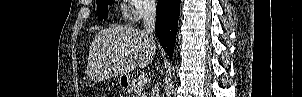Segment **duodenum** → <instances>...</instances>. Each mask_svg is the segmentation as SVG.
I'll return each mask as SVG.
<instances>
[{"instance_id":"duodenum-1","label":"duodenum","mask_w":302,"mask_h":97,"mask_svg":"<svg viewBox=\"0 0 302 97\" xmlns=\"http://www.w3.org/2000/svg\"><path fill=\"white\" fill-rule=\"evenodd\" d=\"M122 85L125 86V87H127V82L122 81Z\"/></svg>"}]
</instances>
